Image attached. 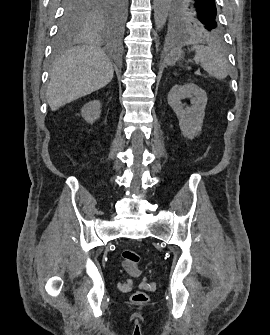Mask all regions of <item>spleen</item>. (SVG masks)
<instances>
[{"instance_id": "3e777b00", "label": "spleen", "mask_w": 270, "mask_h": 335, "mask_svg": "<svg viewBox=\"0 0 270 335\" xmlns=\"http://www.w3.org/2000/svg\"><path fill=\"white\" fill-rule=\"evenodd\" d=\"M186 44H193L194 50H196L195 62H198L202 66L205 72H208L209 76L217 78V80H224L229 74L228 60L223 54L219 42H213L210 46H199L201 40L199 38H189ZM181 46L171 50L167 58H165L167 64H173L174 56L180 54Z\"/></svg>"}]
</instances>
